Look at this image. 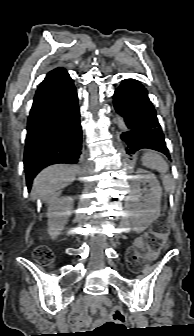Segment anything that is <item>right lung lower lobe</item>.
<instances>
[{
	"instance_id": "98d812e1",
	"label": "right lung lower lobe",
	"mask_w": 194,
	"mask_h": 336,
	"mask_svg": "<svg viewBox=\"0 0 194 336\" xmlns=\"http://www.w3.org/2000/svg\"><path fill=\"white\" fill-rule=\"evenodd\" d=\"M82 130L73 80L62 68L39 85L27 122L24 170L28 189L40 170L51 164H78Z\"/></svg>"
}]
</instances>
